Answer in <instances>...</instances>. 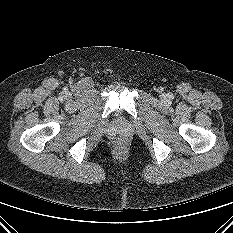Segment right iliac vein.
Here are the masks:
<instances>
[{"label":"right iliac vein","mask_w":233,"mask_h":233,"mask_svg":"<svg viewBox=\"0 0 233 233\" xmlns=\"http://www.w3.org/2000/svg\"><path fill=\"white\" fill-rule=\"evenodd\" d=\"M65 98H66V99H69V98H70L69 94H66Z\"/></svg>","instance_id":"1"}]
</instances>
